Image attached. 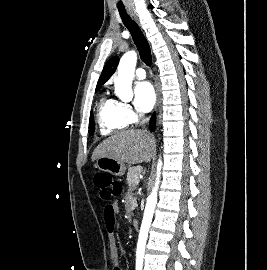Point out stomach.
Returning <instances> with one entry per match:
<instances>
[{
	"label": "stomach",
	"instance_id": "1",
	"mask_svg": "<svg viewBox=\"0 0 267 270\" xmlns=\"http://www.w3.org/2000/svg\"><path fill=\"white\" fill-rule=\"evenodd\" d=\"M95 167L100 171L110 173L115 176H123L126 170L123 162L110 157H99L96 160Z\"/></svg>",
	"mask_w": 267,
	"mask_h": 270
}]
</instances>
